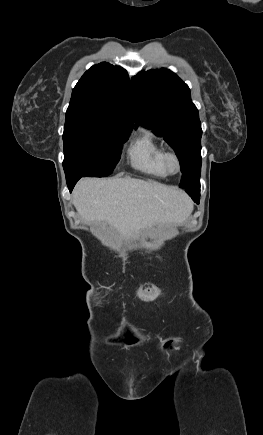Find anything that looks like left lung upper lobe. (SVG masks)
<instances>
[{
  "mask_svg": "<svg viewBox=\"0 0 263 435\" xmlns=\"http://www.w3.org/2000/svg\"><path fill=\"white\" fill-rule=\"evenodd\" d=\"M136 126L140 123L164 139L180 161L181 188L200 185L201 124L190 89L167 69L138 73L132 80Z\"/></svg>",
  "mask_w": 263,
  "mask_h": 435,
  "instance_id": "obj_1",
  "label": "left lung upper lobe"
}]
</instances>
